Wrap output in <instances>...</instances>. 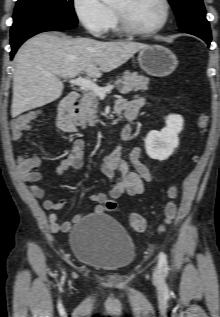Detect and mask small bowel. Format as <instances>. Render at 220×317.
<instances>
[{
    "label": "small bowel",
    "mask_w": 220,
    "mask_h": 317,
    "mask_svg": "<svg viewBox=\"0 0 220 317\" xmlns=\"http://www.w3.org/2000/svg\"><path fill=\"white\" fill-rule=\"evenodd\" d=\"M121 102L127 118L133 122L137 117L143 99L135 97L130 101L119 100ZM133 129L131 126L126 127L123 134V139L132 137ZM84 141L76 137L73 140L71 152L54 166V172L57 176L62 177L67 172H75L83 167L84 164ZM142 148L135 147L128 154V159L122 157L121 147H116L102 160V173L110 180L111 189L108 194L97 193L92 194L89 199L94 202V213L101 214L104 211L105 204L108 200L119 198L126 193L130 196L140 195L144 192L145 183L151 180V173L147 165L142 161ZM39 162L36 158H20L18 170L22 180L30 184V190L38 199H43L42 206L44 210L49 212L48 221L51 230L54 232H65L70 229L69 222L60 223L56 211L64 207L68 203V199L63 198L57 202L44 198L45 191L38 184L42 180L43 175L38 171ZM83 214L74 216V221H79L83 218Z\"/></svg>",
    "instance_id": "c3829d8e"
}]
</instances>
